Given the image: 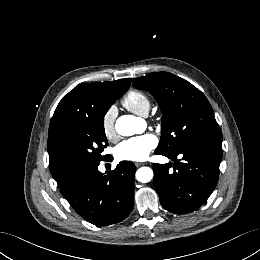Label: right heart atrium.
<instances>
[{
  "label": "right heart atrium",
  "instance_id": "d8ad5b80",
  "mask_svg": "<svg viewBox=\"0 0 260 260\" xmlns=\"http://www.w3.org/2000/svg\"><path fill=\"white\" fill-rule=\"evenodd\" d=\"M115 119H116V108L114 106L109 107L103 115L102 127L104 134L112 139L115 136Z\"/></svg>",
  "mask_w": 260,
  "mask_h": 260
}]
</instances>
